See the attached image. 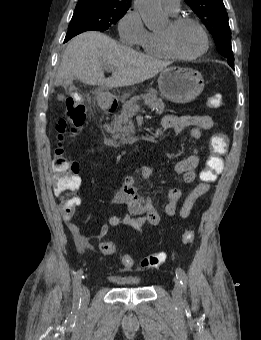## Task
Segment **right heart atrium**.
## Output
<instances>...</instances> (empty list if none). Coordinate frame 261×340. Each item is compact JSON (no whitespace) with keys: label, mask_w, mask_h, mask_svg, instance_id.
Instances as JSON below:
<instances>
[{"label":"right heart atrium","mask_w":261,"mask_h":340,"mask_svg":"<svg viewBox=\"0 0 261 340\" xmlns=\"http://www.w3.org/2000/svg\"><path fill=\"white\" fill-rule=\"evenodd\" d=\"M118 32L121 40L129 45H139L148 33L142 18L135 7H131L120 18Z\"/></svg>","instance_id":"right-heart-atrium-1"}]
</instances>
